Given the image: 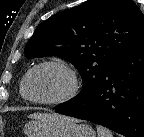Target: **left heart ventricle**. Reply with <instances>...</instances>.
<instances>
[{"mask_svg": "<svg viewBox=\"0 0 144 137\" xmlns=\"http://www.w3.org/2000/svg\"><path fill=\"white\" fill-rule=\"evenodd\" d=\"M67 75L54 67H44L32 74L27 84L29 96L37 99H55L69 88Z\"/></svg>", "mask_w": 144, "mask_h": 137, "instance_id": "obj_1", "label": "left heart ventricle"}]
</instances>
